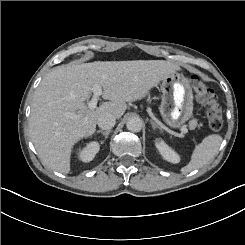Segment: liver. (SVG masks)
Wrapping results in <instances>:
<instances>
[{"instance_id": "1", "label": "liver", "mask_w": 245, "mask_h": 245, "mask_svg": "<svg viewBox=\"0 0 245 245\" xmlns=\"http://www.w3.org/2000/svg\"><path fill=\"white\" fill-rule=\"evenodd\" d=\"M177 68L166 60L94 61L55 67L36 89L29 119L32 142L44 166L67 173L72 145L95 131L100 114L120 117L126 101L143 96ZM96 84L103 86L102 96L110 101L90 112L83 101ZM66 112L81 117L71 119Z\"/></svg>"}]
</instances>
